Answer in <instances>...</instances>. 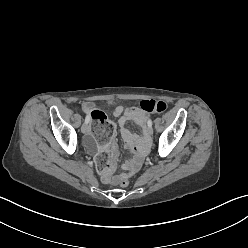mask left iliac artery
I'll return each mask as SVG.
<instances>
[{"instance_id":"left-iliac-artery-1","label":"left iliac artery","mask_w":248,"mask_h":248,"mask_svg":"<svg viewBox=\"0 0 248 248\" xmlns=\"http://www.w3.org/2000/svg\"><path fill=\"white\" fill-rule=\"evenodd\" d=\"M148 126L152 127V121L151 120L148 121Z\"/></svg>"}]
</instances>
